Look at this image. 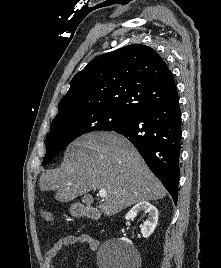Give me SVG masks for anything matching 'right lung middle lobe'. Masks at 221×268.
I'll return each mask as SVG.
<instances>
[{"mask_svg":"<svg viewBox=\"0 0 221 268\" xmlns=\"http://www.w3.org/2000/svg\"><path fill=\"white\" fill-rule=\"evenodd\" d=\"M131 118L110 110H96L56 116L46 137V155L43 164L51 161L64 147L77 137L98 130L110 131L127 123Z\"/></svg>","mask_w":221,"mask_h":268,"instance_id":"obj_1","label":"right lung middle lobe"}]
</instances>
